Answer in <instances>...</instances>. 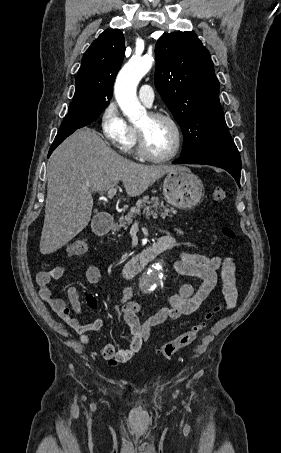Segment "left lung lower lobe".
Segmentation results:
<instances>
[{
  "instance_id": "0a47b994",
  "label": "left lung lower lobe",
  "mask_w": 281,
  "mask_h": 453,
  "mask_svg": "<svg viewBox=\"0 0 281 453\" xmlns=\"http://www.w3.org/2000/svg\"><path fill=\"white\" fill-rule=\"evenodd\" d=\"M174 164H205L228 171L240 186L241 158L237 147L215 150L196 156L181 157Z\"/></svg>"
}]
</instances>
